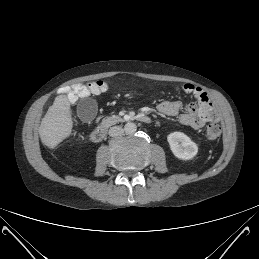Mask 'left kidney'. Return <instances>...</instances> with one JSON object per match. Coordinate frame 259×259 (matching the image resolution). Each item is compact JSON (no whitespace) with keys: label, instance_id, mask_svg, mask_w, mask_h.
<instances>
[{"label":"left kidney","instance_id":"5707ae66","mask_svg":"<svg viewBox=\"0 0 259 259\" xmlns=\"http://www.w3.org/2000/svg\"><path fill=\"white\" fill-rule=\"evenodd\" d=\"M170 150L175 157L181 160H190L196 156L198 147L186 134L182 132H172L167 136Z\"/></svg>","mask_w":259,"mask_h":259}]
</instances>
